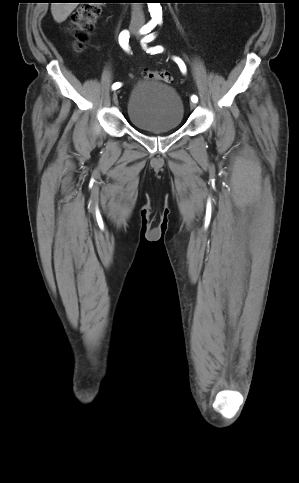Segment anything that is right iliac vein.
<instances>
[{"label":"right iliac vein","instance_id":"1","mask_svg":"<svg viewBox=\"0 0 299 483\" xmlns=\"http://www.w3.org/2000/svg\"><path fill=\"white\" fill-rule=\"evenodd\" d=\"M133 32L135 33L136 31ZM113 101L115 104H118V92L113 93Z\"/></svg>","mask_w":299,"mask_h":483}]
</instances>
